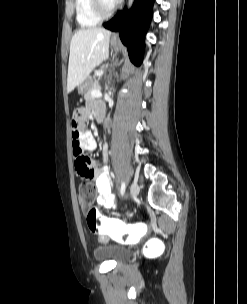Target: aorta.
Wrapping results in <instances>:
<instances>
[{"label":"aorta","mask_w":247,"mask_h":304,"mask_svg":"<svg viewBox=\"0 0 247 304\" xmlns=\"http://www.w3.org/2000/svg\"><path fill=\"white\" fill-rule=\"evenodd\" d=\"M133 2H134V0H128V7H131Z\"/></svg>","instance_id":"obj_1"}]
</instances>
